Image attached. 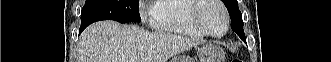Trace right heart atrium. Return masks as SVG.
<instances>
[{
  "label": "right heart atrium",
  "mask_w": 331,
  "mask_h": 62,
  "mask_svg": "<svg viewBox=\"0 0 331 62\" xmlns=\"http://www.w3.org/2000/svg\"><path fill=\"white\" fill-rule=\"evenodd\" d=\"M154 2H155V1H150V2H147V1H141V2H140L141 15H142L143 20H146L147 15H148V8H149L150 4H152V3H154Z\"/></svg>",
  "instance_id": "right-heart-atrium-1"
}]
</instances>
